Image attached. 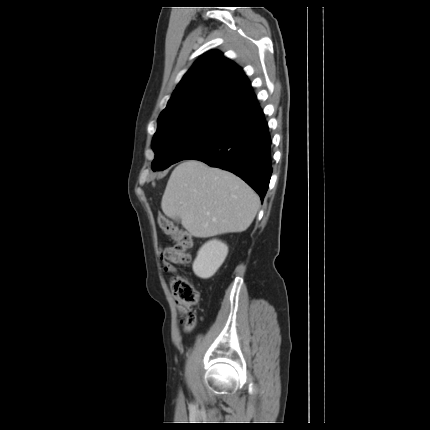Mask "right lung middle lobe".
Wrapping results in <instances>:
<instances>
[{
    "label": "right lung middle lobe",
    "instance_id": "dd1d6c3e",
    "mask_svg": "<svg viewBox=\"0 0 430 430\" xmlns=\"http://www.w3.org/2000/svg\"><path fill=\"white\" fill-rule=\"evenodd\" d=\"M238 116L224 100H208L158 119L152 170L185 160L229 128Z\"/></svg>",
    "mask_w": 430,
    "mask_h": 430
}]
</instances>
